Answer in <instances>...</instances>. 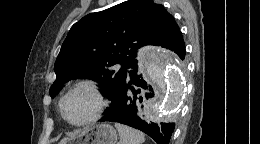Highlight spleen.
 Here are the masks:
<instances>
[{"mask_svg":"<svg viewBox=\"0 0 260 144\" xmlns=\"http://www.w3.org/2000/svg\"><path fill=\"white\" fill-rule=\"evenodd\" d=\"M120 136L119 144H143L145 136L142 132L126 125L115 123Z\"/></svg>","mask_w":260,"mask_h":144,"instance_id":"spleen-1","label":"spleen"}]
</instances>
